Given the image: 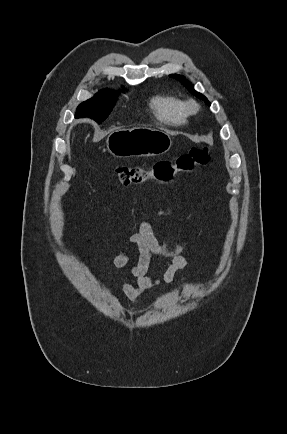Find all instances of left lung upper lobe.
<instances>
[{
	"mask_svg": "<svg viewBox=\"0 0 287 434\" xmlns=\"http://www.w3.org/2000/svg\"><path fill=\"white\" fill-rule=\"evenodd\" d=\"M170 77L175 78L179 81H181L184 86L194 95H196L198 98L204 100L208 105H210L209 101L206 99V97H204L202 94L196 92L193 88V86L186 80V78L182 75H178V74H172L170 75Z\"/></svg>",
	"mask_w": 287,
	"mask_h": 434,
	"instance_id": "left-lung-upper-lobe-1",
	"label": "left lung upper lobe"
}]
</instances>
